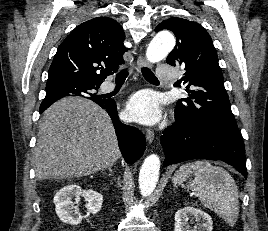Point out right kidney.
Wrapping results in <instances>:
<instances>
[{
	"mask_svg": "<svg viewBox=\"0 0 268 231\" xmlns=\"http://www.w3.org/2000/svg\"><path fill=\"white\" fill-rule=\"evenodd\" d=\"M83 196L87 201L86 208L96 214L100 211L103 203V196L92 189L83 190L77 184H70L61 188L54 196L55 211L60 220L70 225H78L82 221V215L74 205V197Z\"/></svg>",
	"mask_w": 268,
	"mask_h": 231,
	"instance_id": "right-kidney-1",
	"label": "right kidney"
}]
</instances>
